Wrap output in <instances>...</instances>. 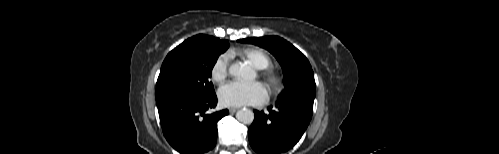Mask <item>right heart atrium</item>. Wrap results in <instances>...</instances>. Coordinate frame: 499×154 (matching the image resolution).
<instances>
[{
	"label": "right heart atrium",
	"mask_w": 499,
	"mask_h": 154,
	"mask_svg": "<svg viewBox=\"0 0 499 154\" xmlns=\"http://www.w3.org/2000/svg\"><path fill=\"white\" fill-rule=\"evenodd\" d=\"M228 59L224 56L218 57L210 70V77L215 83H222L228 76Z\"/></svg>",
	"instance_id": "obj_1"
}]
</instances>
